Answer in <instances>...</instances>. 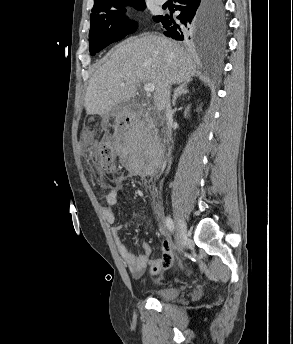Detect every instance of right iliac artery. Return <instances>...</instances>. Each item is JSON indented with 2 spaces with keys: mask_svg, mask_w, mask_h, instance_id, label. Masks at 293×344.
<instances>
[{
  "mask_svg": "<svg viewBox=\"0 0 293 344\" xmlns=\"http://www.w3.org/2000/svg\"><path fill=\"white\" fill-rule=\"evenodd\" d=\"M165 224H166L167 229L170 232L174 231V223H173V220L170 217H166Z\"/></svg>",
  "mask_w": 293,
  "mask_h": 344,
  "instance_id": "1",
  "label": "right iliac artery"
}]
</instances>
